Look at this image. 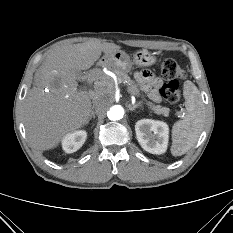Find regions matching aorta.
Returning a JSON list of instances; mask_svg holds the SVG:
<instances>
[{
    "label": "aorta",
    "mask_w": 233,
    "mask_h": 233,
    "mask_svg": "<svg viewBox=\"0 0 233 233\" xmlns=\"http://www.w3.org/2000/svg\"><path fill=\"white\" fill-rule=\"evenodd\" d=\"M124 109L120 105H109L107 116L110 120L116 121L123 118Z\"/></svg>",
    "instance_id": "762f6f07"
}]
</instances>
